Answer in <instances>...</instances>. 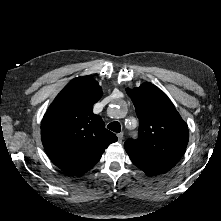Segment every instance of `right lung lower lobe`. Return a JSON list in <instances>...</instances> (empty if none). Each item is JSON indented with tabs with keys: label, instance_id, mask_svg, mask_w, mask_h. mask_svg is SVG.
<instances>
[{
	"label": "right lung lower lobe",
	"instance_id": "obj_1",
	"mask_svg": "<svg viewBox=\"0 0 221 221\" xmlns=\"http://www.w3.org/2000/svg\"><path fill=\"white\" fill-rule=\"evenodd\" d=\"M98 161H99V159L88 160V161H85V162H82L79 164L69 166V167L64 168L62 170L69 173V174L82 175V174L86 173L88 170H90Z\"/></svg>",
	"mask_w": 221,
	"mask_h": 221
}]
</instances>
